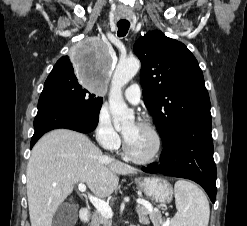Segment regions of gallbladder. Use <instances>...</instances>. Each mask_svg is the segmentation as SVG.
Returning <instances> with one entry per match:
<instances>
[{
    "instance_id": "1",
    "label": "gallbladder",
    "mask_w": 247,
    "mask_h": 226,
    "mask_svg": "<svg viewBox=\"0 0 247 226\" xmlns=\"http://www.w3.org/2000/svg\"><path fill=\"white\" fill-rule=\"evenodd\" d=\"M77 217L76 205L61 204L53 216L51 226H74Z\"/></svg>"
}]
</instances>
